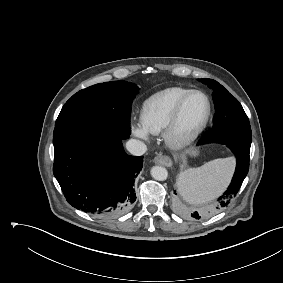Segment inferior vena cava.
Segmentation results:
<instances>
[{"mask_svg": "<svg viewBox=\"0 0 283 283\" xmlns=\"http://www.w3.org/2000/svg\"><path fill=\"white\" fill-rule=\"evenodd\" d=\"M126 148L131 154L136 156L143 155L147 150V146L143 142L136 139H130L126 143Z\"/></svg>", "mask_w": 283, "mask_h": 283, "instance_id": "602c4592", "label": "inferior vena cava"}]
</instances>
